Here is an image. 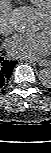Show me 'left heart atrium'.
<instances>
[{
	"label": "left heart atrium",
	"instance_id": "39dd6f15",
	"mask_svg": "<svg viewBox=\"0 0 51 153\" xmlns=\"http://www.w3.org/2000/svg\"><path fill=\"white\" fill-rule=\"evenodd\" d=\"M6 47L14 57L37 60L50 52L51 34L48 30L35 34H18L7 41Z\"/></svg>",
	"mask_w": 51,
	"mask_h": 153
}]
</instances>
